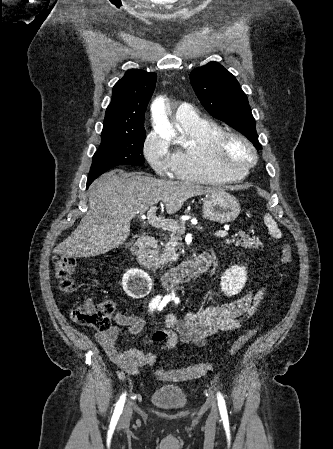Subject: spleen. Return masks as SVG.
<instances>
[{"instance_id": "spleen-1", "label": "spleen", "mask_w": 333, "mask_h": 449, "mask_svg": "<svg viewBox=\"0 0 333 449\" xmlns=\"http://www.w3.org/2000/svg\"><path fill=\"white\" fill-rule=\"evenodd\" d=\"M264 222L266 224V226L268 227L269 232L275 237V238H279L281 236V232L278 228L277 223L275 222V220L272 218V216L270 214H266L264 217Z\"/></svg>"}]
</instances>
